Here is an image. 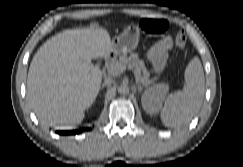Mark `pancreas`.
<instances>
[{"label": "pancreas", "instance_id": "pancreas-1", "mask_svg": "<svg viewBox=\"0 0 243 167\" xmlns=\"http://www.w3.org/2000/svg\"><path fill=\"white\" fill-rule=\"evenodd\" d=\"M116 65L132 69L136 78H139L144 85L151 83V80H149L150 73L146 69L144 61L139 59L137 53H131L129 57L125 55L120 56L118 60L111 64V67Z\"/></svg>", "mask_w": 243, "mask_h": 167}]
</instances>
